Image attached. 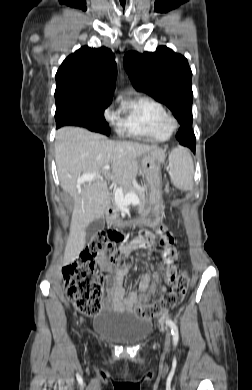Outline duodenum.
Here are the masks:
<instances>
[{"instance_id": "410a0bca", "label": "duodenum", "mask_w": 252, "mask_h": 390, "mask_svg": "<svg viewBox=\"0 0 252 390\" xmlns=\"http://www.w3.org/2000/svg\"><path fill=\"white\" fill-rule=\"evenodd\" d=\"M106 213H107V216H108V218L110 220V224L114 225L115 219H116V210L114 208H112V207H109L107 209Z\"/></svg>"}]
</instances>
